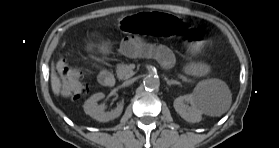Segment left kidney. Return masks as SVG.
<instances>
[{"label":"left kidney","instance_id":"1","mask_svg":"<svg viewBox=\"0 0 279 148\" xmlns=\"http://www.w3.org/2000/svg\"><path fill=\"white\" fill-rule=\"evenodd\" d=\"M176 112L187 122H200L206 110L203 100L194 92L174 100Z\"/></svg>","mask_w":279,"mask_h":148}]
</instances>
